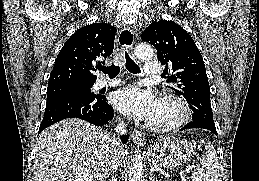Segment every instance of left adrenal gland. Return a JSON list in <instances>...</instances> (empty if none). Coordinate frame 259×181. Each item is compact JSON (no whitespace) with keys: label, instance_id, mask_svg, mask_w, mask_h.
I'll return each mask as SVG.
<instances>
[{"label":"left adrenal gland","instance_id":"1","mask_svg":"<svg viewBox=\"0 0 259 181\" xmlns=\"http://www.w3.org/2000/svg\"><path fill=\"white\" fill-rule=\"evenodd\" d=\"M150 181H155V177L154 176H150Z\"/></svg>","mask_w":259,"mask_h":181}]
</instances>
